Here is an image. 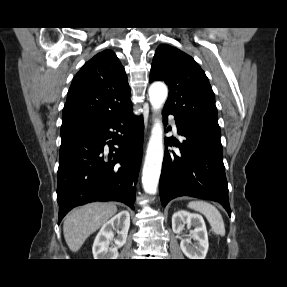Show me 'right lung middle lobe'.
Masks as SVG:
<instances>
[{
    "label": "right lung middle lobe",
    "mask_w": 287,
    "mask_h": 287,
    "mask_svg": "<svg viewBox=\"0 0 287 287\" xmlns=\"http://www.w3.org/2000/svg\"><path fill=\"white\" fill-rule=\"evenodd\" d=\"M87 127H88V125H83V124H74V125L62 126L61 127V137L68 135V134H71V133L86 130Z\"/></svg>",
    "instance_id": "1"
}]
</instances>
